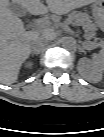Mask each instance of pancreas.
<instances>
[{
	"mask_svg": "<svg viewBox=\"0 0 104 137\" xmlns=\"http://www.w3.org/2000/svg\"><path fill=\"white\" fill-rule=\"evenodd\" d=\"M66 22L82 25L86 29H92L94 27V25L88 19L87 14L76 12V11L68 15V17L66 18ZM95 46H96L95 44L89 43V48H94Z\"/></svg>",
	"mask_w": 104,
	"mask_h": 137,
	"instance_id": "obj_1",
	"label": "pancreas"
}]
</instances>
